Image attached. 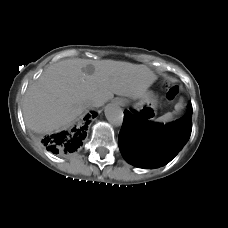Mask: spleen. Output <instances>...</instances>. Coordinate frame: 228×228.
Returning <instances> with one entry per match:
<instances>
[{"instance_id": "obj_1", "label": "spleen", "mask_w": 228, "mask_h": 228, "mask_svg": "<svg viewBox=\"0 0 228 228\" xmlns=\"http://www.w3.org/2000/svg\"><path fill=\"white\" fill-rule=\"evenodd\" d=\"M180 108H181V104L180 103L176 104L175 110L178 111V110H180ZM172 117H173V113L172 112H168V113H165L163 116L159 117L158 120L166 122V121L171 120Z\"/></svg>"}]
</instances>
